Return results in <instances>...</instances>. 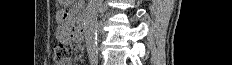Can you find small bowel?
Masks as SVG:
<instances>
[{"label": "small bowel", "instance_id": "obj_1", "mask_svg": "<svg viewBox=\"0 0 232 65\" xmlns=\"http://www.w3.org/2000/svg\"><path fill=\"white\" fill-rule=\"evenodd\" d=\"M58 16H55V21H67L68 17H75V12H58ZM73 23H60L57 27L56 37L59 40L60 45H70V47H81V42H75L76 32H71ZM61 65H72L70 60H66Z\"/></svg>", "mask_w": 232, "mask_h": 65}]
</instances>
